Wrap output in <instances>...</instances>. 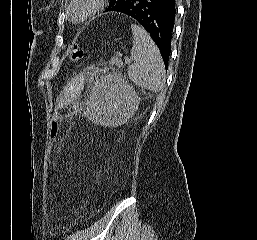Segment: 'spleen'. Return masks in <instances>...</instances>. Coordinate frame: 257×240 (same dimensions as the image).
<instances>
[{"label": "spleen", "instance_id": "obj_1", "mask_svg": "<svg viewBox=\"0 0 257 240\" xmlns=\"http://www.w3.org/2000/svg\"><path fill=\"white\" fill-rule=\"evenodd\" d=\"M133 47L130 58L133 63L128 68V76L133 83L155 93L165 88L166 74L158 47L150 35L139 25H131Z\"/></svg>", "mask_w": 257, "mask_h": 240}]
</instances>
